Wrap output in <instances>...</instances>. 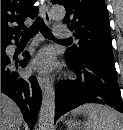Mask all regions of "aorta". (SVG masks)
I'll return each mask as SVG.
<instances>
[{"instance_id":"obj_1","label":"aorta","mask_w":123,"mask_h":130,"mask_svg":"<svg viewBox=\"0 0 123 130\" xmlns=\"http://www.w3.org/2000/svg\"><path fill=\"white\" fill-rule=\"evenodd\" d=\"M65 8L54 5L49 11L53 20H62L65 16ZM55 117V88L52 80H47L42 94V102L39 114V130H53Z\"/></svg>"}]
</instances>
